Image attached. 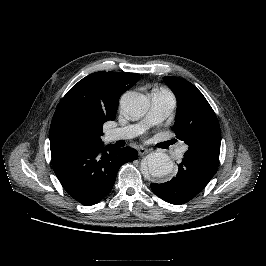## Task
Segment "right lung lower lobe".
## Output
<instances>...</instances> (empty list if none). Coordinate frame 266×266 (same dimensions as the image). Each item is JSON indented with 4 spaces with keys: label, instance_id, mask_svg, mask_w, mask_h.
Segmentation results:
<instances>
[{
    "label": "right lung lower lobe",
    "instance_id": "1",
    "mask_svg": "<svg viewBox=\"0 0 266 266\" xmlns=\"http://www.w3.org/2000/svg\"><path fill=\"white\" fill-rule=\"evenodd\" d=\"M53 170L66 192L89 206L100 202L113 188L119 168L138 158L130 147L103 143L51 150Z\"/></svg>",
    "mask_w": 266,
    "mask_h": 266
}]
</instances>
